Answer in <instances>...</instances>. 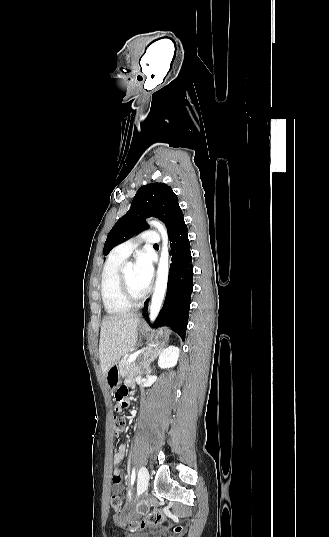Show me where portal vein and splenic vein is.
Listing matches in <instances>:
<instances>
[{"instance_id":"1","label":"portal vein and splenic vein","mask_w":329,"mask_h":537,"mask_svg":"<svg viewBox=\"0 0 329 537\" xmlns=\"http://www.w3.org/2000/svg\"><path fill=\"white\" fill-rule=\"evenodd\" d=\"M142 351H137L128 358V363L134 362Z\"/></svg>"}]
</instances>
